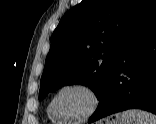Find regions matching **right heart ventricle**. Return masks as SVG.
I'll use <instances>...</instances> for the list:
<instances>
[{"label":"right heart ventricle","mask_w":156,"mask_h":124,"mask_svg":"<svg viewBox=\"0 0 156 124\" xmlns=\"http://www.w3.org/2000/svg\"><path fill=\"white\" fill-rule=\"evenodd\" d=\"M47 114H48L49 119H50L52 122L57 123V124H64V123H65V122L62 121L63 119H59L58 117L55 118V117L52 115V113H51L49 107H48V110H47Z\"/></svg>","instance_id":"e07e8e85"}]
</instances>
